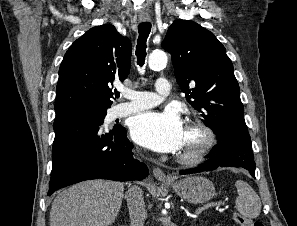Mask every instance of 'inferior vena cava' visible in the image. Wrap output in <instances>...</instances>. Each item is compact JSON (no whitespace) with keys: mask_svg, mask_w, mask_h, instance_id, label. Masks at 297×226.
Masks as SVG:
<instances>
[{"mask_svg":"<svg viewBox=\"0 0 297 226\" xmlns=\"http://www.w3.org/2000/svg\"><path fill=\"white\" fill-rule=\"evenodd\" d=\"M125 198L131 220L130 226H143L147 213L142 190L137 186L131 187L126 192Z\"/></svg>","mask_w":297,"mask_h":226,"instance_id":"602c4592","label":"inferior vena cava"}]
</instances>
